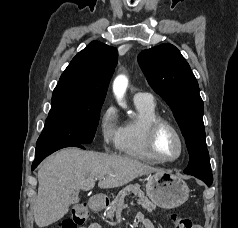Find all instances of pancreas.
Masks as SVG:
<instances>
[{
	"label": "pancreas",
	"instance_id": "pancreas-1",
	"mask_svg": "<svg viewBox=\"0 0 238 228\" xmlns=\"http://www.w3.org/2000/svg\"><path fill=\"white\" fill-rule=\"evenodd\" d=\"M130 193L138 198V203L146 209L148 212H152L156 209V206L145 196V193L140 189L139 184H130L124 187L115 199L112 201L111 205L106 208V216L110 219L114 217V213L117 208L124 205V198Z\"/></svg>",
	"mask_w": 238,
	"mask_h": 228
}]
</instances>
